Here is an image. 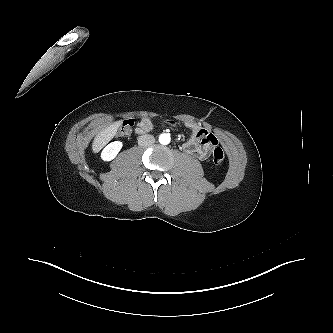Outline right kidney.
<instances>
[{
  "label": "right kidney",
  "mask_w": 333,
  "mask_h": 333,
  "mask_svg": "<svg viewBox=\"0 0 333 333\" xmlns=\"http://www.w3.org/2000/svg\"><path fill=\"white\" fill-rule=\"evenodd\" d=\"M122 146L123 144L120 141H114L108 144L101 152V159L104 161L113 160L121 150Z\"/></svg>",
  "instance_id": "1"
}]
</instances>
